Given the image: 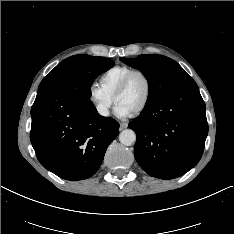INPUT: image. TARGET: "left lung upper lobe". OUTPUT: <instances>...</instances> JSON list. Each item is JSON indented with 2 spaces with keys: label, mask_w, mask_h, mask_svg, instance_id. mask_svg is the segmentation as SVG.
Wrapping results in <instances>:
<instances>
[{
  "label": "left lung upper lobe",
  "mask_w": 234,
  "mask_h": 234,
  "mask_svg": "<svg viewBox=\"0 0 234 234\" xmlns=\"http://www.w3.org/2000/svg\"><path fill=\"white\" fill-rule=\"evenodd\" d=\"M120 60L139 69L149 83V95L144 109H149L174 90L195 82L174 60L162 56L145 54L136 58L121 57Z\"/></svg>",
  "instance_id": "5c2ea615"
}]
</instances>
